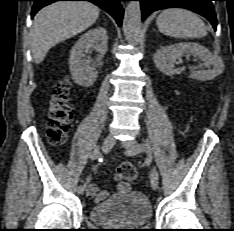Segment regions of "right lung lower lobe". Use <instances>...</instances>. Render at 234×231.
I'll use <instances>...</instances> for the list:
<instances>
[{
  "label": "right lung lower lobe",
  "instance_id": "1",
  "mask_svg": "<svg viewBox=\"0 0 234 231\" xmlns=\"http://www.w3.org/2000/svg\"><path fill=\"white\" fill-rule=\"evenodd\" d=\"M34 5L32 8L31 17L33 18L34 15L44 6L51 4L56 1H90L94 3L95 5L99 6L106 12H108L119 26L122 24V18H123V8L120 4V1L123 0H33Z\"/></svg>",
  "mask_w": 234,
  "mask_h": 231
}]
</instances>
